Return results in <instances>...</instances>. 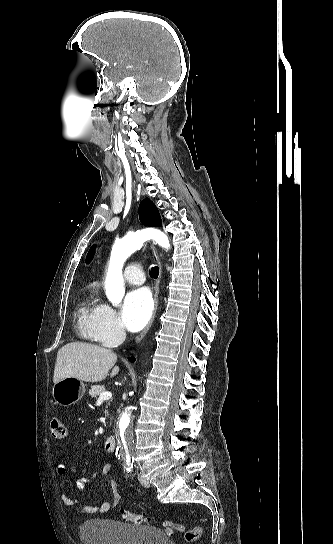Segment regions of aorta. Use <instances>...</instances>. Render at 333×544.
I'll use <instances>...</instances> for the list:
<instances>
[{
	"instance_id": "762f6f07",
	"label": "aorta",
	"mask_w": 333,
	"mask_h": 544,
	"mask_svg": "<svg viewBox=\"0 0 333 544\" xmlns=\"http://www.w3.org/2000/svg\"><path fill=\"white\" fill-rule=\"evenodd\" d=\"M149 239H153L157 244L166 249L170 247L168 237L156 229H144L128 234L113 245L105 279L106 295L113 306H119L124 297L125 288L122 269L125 261ZM118 439L126 457L131 459L133 452V431L130 424L129 411H125L119 420Z\"/></svg>"
}]
</instances>
